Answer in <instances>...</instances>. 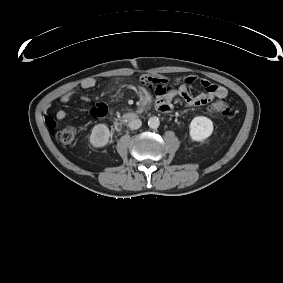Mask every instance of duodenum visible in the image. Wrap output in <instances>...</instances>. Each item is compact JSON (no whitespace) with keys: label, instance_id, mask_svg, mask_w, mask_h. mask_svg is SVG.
<instances>
[{"label":"duodenum","instance_id":"obj_1","mask_svg":"<svg viewBox=\"0 0 283 283\" xmlns=\"http://www.w3.org/2000/svg\"><path fill=\"white\" fill-rule=\"evenodd\" d=\"M139 117V115L138 114H135V113H129V114H127L125 117H124V120H128V121H130V120H134V119H137ZM123 120V121H124Z\"/></svg>","mask_w":283,"mask_h":283}]
</instances>
